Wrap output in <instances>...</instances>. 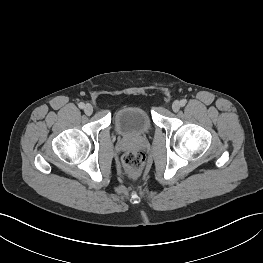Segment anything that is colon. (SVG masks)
<instances>
[{
    "label": "colon",
    "mask_w": 263,
    "mask_h": 263,
    "mask_svg": "<svg viewBox=\"0 0 263 263\" xmlns=\"http://www.w3.org/2000/svg\"><path fill=\"white\" fill-rule=\"evenodd\" d=\"M123 166L131 178H137L145 168L146 157L137 150L127 151L122 158Z\"/></svg>",
    "instance_id": "1"
}]
</instances>
